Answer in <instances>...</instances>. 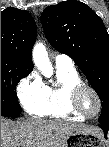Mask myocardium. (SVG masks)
I'll list each match as a JSON object with an SVG mask.
<instances>
[{
    "label": "myocardium",
    "mask_w": 109,
    "mask_h": 147,
    "mask_svg": "<svg viewBox=\"0 0 109 147\" xmlns=\"http://www.w3.org/2000/svg\"><path fill=\"white\" fill-rule=\"evenodd\" d=\"M84 91H89L91 92L96 100H97V111L95 114L93 115H89L87 114L81 107L80 105V99H81V96L83 94ZM70 105L72 107V109L79 115H81L82 117H85V118H93L95 117L96 115L99 114L100 110H101V107H102V102H101V98L98 94V92L91 86L89 85H86L84 83H80L78 85H76L72 92H71V95H70Z\"/></svg>",
    "instance_id": "1"
}]
</instances>
